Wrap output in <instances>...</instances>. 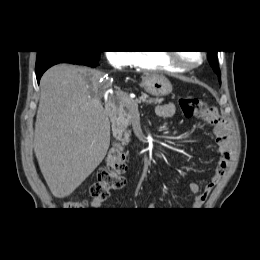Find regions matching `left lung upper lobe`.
<instances>
[{
  "label": "left lung upper lobe",
  "instance_id": "1",
  "mask_svg": "<svg viewBox=\"0 0 260 260\" xmlns=\"http://www.w3.org/2000/svg\"><path fill=\"white\" fill-rule=\"evenodd\" d=\"M208 52V60L210 65L213 67L214 71L217 73L220 79V69L218 66V59L216 56V51H207Z\"/></svg>",
  "mask_w": 260,
  "mask_h": 260
}]
</instances>
